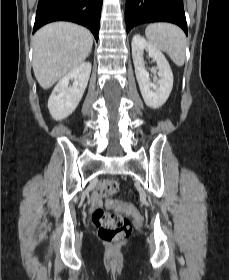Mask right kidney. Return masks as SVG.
<instances>
[{"instance_id":"ca27d5eb","label":"right kidney","mask_w":229,"mask_h":280,"mask_svg":"<svg viewBox=\"0 0 229 280\" xmlns=\"http://www.w3.org/2000/svg\"><path fill=\"white\" fill-rule=\"evenodd\" d=\"M91 67L90 62H83L57 83L48 100L53 119L60 121L74 112L87 87ZM70 80L74 81L71 87Z\"/></svg>"}]
</instances>
